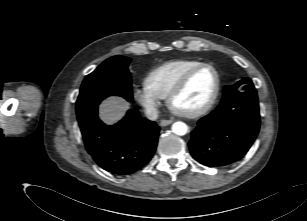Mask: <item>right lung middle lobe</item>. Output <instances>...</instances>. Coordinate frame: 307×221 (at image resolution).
I'll return each instance as SVG.
<instances>
[{
	"mask_svg": "<svg viewBox=\"0 0 307 221\" xmlns=\"http://www.w3.org/2000/svg\"><path fill=\"white\" fill-rule=\"evenodd\" d=\"M129 61L123 56L110 57L86 76L76 102L77 117L98 106L110 95L123 96L129 102L133 100Z\"/></svg>",
	"mask_w": 307,
	"mask_h": 221,
	"instance_id": "obj_1",
	"label": "right lung middle lobe"
}]
</instances>
